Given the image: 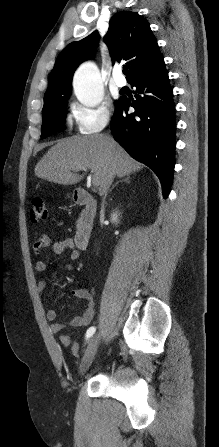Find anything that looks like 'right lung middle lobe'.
<instances>
[{
    "label": "right lung middle lobe",
    "mask_w": 219,
    "mask_h": 447,
    "mask_svg": "<svg viewBox=\"0 0 219 447\" xmlns=\"http://www.w3.org/2000/svg\"><path fill=\"white\" fill-rule=\"evenodd\" d=\"M70 95H59L44 100L41 138L65 129L67 99Z\"/></svg>",
    "instance_id": "obj_1"
}]
</instances>
